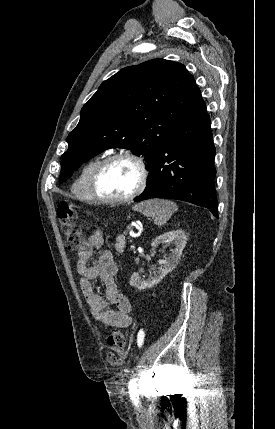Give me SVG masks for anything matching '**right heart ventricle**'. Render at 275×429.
Returning <instances> with one entry per match:
<instances>
[{
    "mask_svg": "<svg viewBox=\"0 0 275 429\" xmlns=\"http://www.w3.org/2000/svg\"><path fill=\"white\" fill-rule=\"evenodd\" d=\"M102 160V157H96L82 166L76 178L73 181L72 193L81 201H92L89 192V178L95 166Z\"/></svg>",
    "mask_w": 275,
    "mask_h": 429,
    "instance_id": "1",
    "label": "right heart ventricle"
}]
</instances>
